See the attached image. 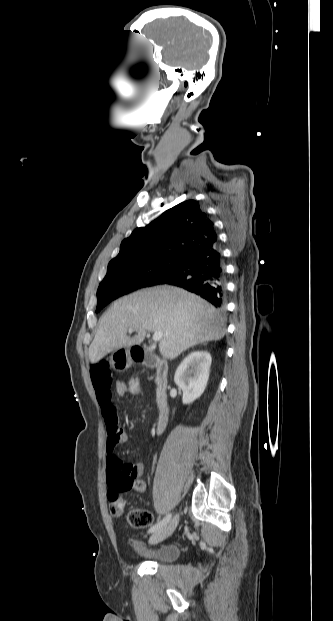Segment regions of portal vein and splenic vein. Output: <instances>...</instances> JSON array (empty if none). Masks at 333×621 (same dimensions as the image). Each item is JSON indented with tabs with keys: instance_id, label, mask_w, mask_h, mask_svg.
<instances>
[{
	"instance_id": "portal-vein-and-splenic-vein-1",
	"label": "portal vein and splenic vein",
	"mask_w": 333,
	"mask_h": 621,
	"mask_svg": "<svg viewBox=\"0 0 333 621\" xmlns=\"http://www.w3.org/2000/svg\"><path fill=\"white\" fill-rule=\"evenodd\" d=\"M128 331H129V333H132L134 331V329L133 328H129ZM162 338H163V333L161 331L154 332V334H153V341L154 342H157V341H159Z\"/></svg>"
}]
</instances>
